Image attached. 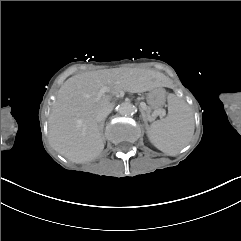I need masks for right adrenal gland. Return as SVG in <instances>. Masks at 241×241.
<instances>
[{
	"label": "right adrenal gland",
	"instance_id": "2a0ac1e0",
	"mask_svg": "<svg viewBox=\"0 0 241 241\" xmlns=\"http://www.w3.org/2000/svg\"><path fill=\"white\" fill-rule=\"evenodd\" d=\"M103 127H104V125L102 124V130H101V133H103Z\"/></svg>",
	"mask_w": 241,
	"mask_h": 241
}]
</instances>
